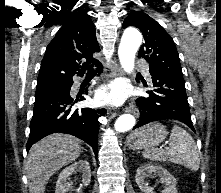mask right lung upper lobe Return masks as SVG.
I'll list each match as a JSON object with an SVG mask.
<instances>
[{
  "mask_svg": "<svg viewBox=\"0 0 221 193\" xmlns=\"http://www.w3.org/2000/svg\"><path fill=\"white\" fill-rule=\"evenodd\" d=\"M99 51L92 20L86 14H74L47 46L37 87L68 82L74 75L83 76L88 64L99 63L93 58V53ZM83 61L86 62L82 64Z\"/></svg>",
  "mask_w": 221,
  "mask_h": 193,
  "instance_id": "1",
  "label": "right lung upper lobe"
}]
</instances>
